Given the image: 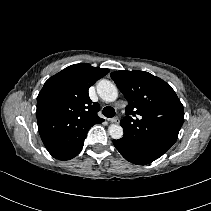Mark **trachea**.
Segmentation results:
<instances>
[{"mask_svg":"<svg viewBox=\"0 0 211 211\" xmlns=\"http://www.w3.org/2000/svg\"><path fill=\"white\" fill-rule=\"evenodd\" d=\"M102 113L104 116L108 117V118H112L115 116V110L113 107L110 106H106L103 110Z\"/></svg>","mask_w":211,"mask_h":211,"instance_id":"trachea-1","label":"trachea"}]
</instances>
